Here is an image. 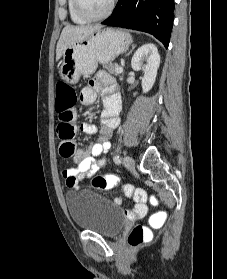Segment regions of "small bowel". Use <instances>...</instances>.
Wrapping results in <instances>:
<instances>
[{
  "label": "small bowel",
  "instance_id": "obj_1",
  "mask_svg": "<svg viewBox=\"0 0 227 279\" xmlns=\"http://www.w3.org/2000/svg\"><path fill=\"white\" fill-rule=\"evenodd\" d=\"M103 96L104 110L101 114L100 138L94 142L88 149H78L73 153V160L77 163L76 167L65 168L62 175L66 185H69V179L74 177L78 183L93 176L105 163L106 154L111 148V138L113 131L120 123L119 113L121 110V101L119 95V87L114 78L107 73H97L95 78L84 87L80 93V102L84 106H90L95 103L98 93ZM71 125L76 127V121L73 117ZM81 130L85 134L93 135L97 133L98 126L94 123L84 121L80 125ZM62 142H65L62 140ZM72 142V140L70 141ZM73 143V142H72ZM125 192L131 193L135 190L132 185L125 186ZM136 207L134 216H143L148 206L145 197L135 198Z\"/></svg>",
  "mask_w": 227,
  "mask_h": 279
}]
</instances>
